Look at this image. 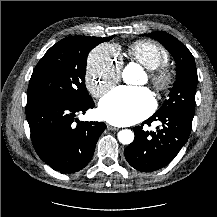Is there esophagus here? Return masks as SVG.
I'll return each instance as SVG.
<instances>
[{"mask_svg":"<svg viewBox=\"0 0 217 217\" xmlns=\"http://www.w3.org/2000/svg\"><path fill=\"white\" fill-rule=\"evenodd\" d=\"M107 129L111 131L117 130V128L112 125H107Z\"/></svg>","mask_w":217,"mask_h":217,"instance_id":"obj_1","label":"esophagus"}]
</instances>
